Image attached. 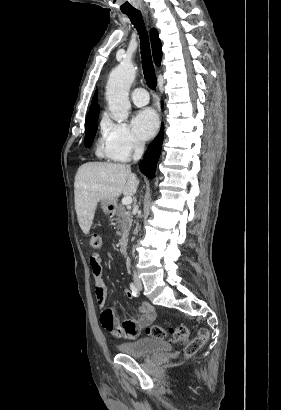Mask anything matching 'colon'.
I'll list each match as a JSON object with an SVG mask.
<instances>
[{
	"mask_svg": "<svg viewBox=\"0 0 281 410\" xmlns=\"http://www.w3.org/2000/svg\"><path fill=\"white\" fill-rule=\"evenodd\" d=\"M90 245L93 249H100L102 246V237L99 234H93L90 238ZM104 320L103 325H111L109 310L103 313ZM103 326V327H104ZM172 340L178 344H184V355L186 357L194 356L207 342L208 331L204 328L198 329L194 338L189 339V330L185 325H178L170 331ZM147 334L155 339L164 340L167 338V331L157 325H153L147 328Z\"/></svg>",
	"mask_w": 281,
	"mask_h": 410,
	"instance_id": "colon-1",
	"label": "colon"
}]
</instances>
